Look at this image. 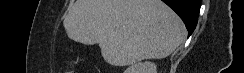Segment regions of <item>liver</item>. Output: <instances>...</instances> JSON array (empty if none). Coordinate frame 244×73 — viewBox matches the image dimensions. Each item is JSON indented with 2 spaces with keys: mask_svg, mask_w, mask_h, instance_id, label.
I'll return each mask as SVG.
<instances>
[{
  "mask_svg": "<svg viewBox=\"0 0 244 73\" xmlns=\"http://www.w3.org/2000/svg\"><path fill=\"white\" fill-rule=\"evenodd\" d=\"M63 25L70 39L98 43L115 66L165 58L186 35L180 17L161 0H76Z\"/></svg>",
  "mask_w": 244,
  "mask_h": 73,
  "instance_id": "liver-1",
  "label": "liver"
}]
</instances>
